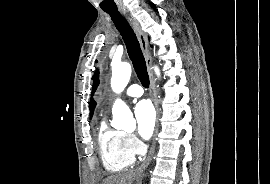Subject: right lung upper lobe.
Instances as JSON below:
<instances>
[{
	"instance_id": "obj_1",
	"label": "right lung upper lobe",
	"mask_w": 270,
	"mask_h": 184,
	"mask_svg": "<svg viewBox=\"0 0 270 184\" xmlns=\"http://www.w3.org/2000/svg\"><path fill=\"white\" fill-rule=\"evenodd\" d=\"M93 79H94V82H93L92 95L94 94V92H95V90H96V88L98 86V73L97 72L95 73ZM95 106H96V102L93 99H91L90 106H89V108H90V116L93 115V111H94Z\"/></svg>"
}]
</instances>
